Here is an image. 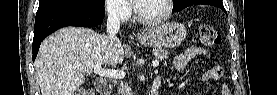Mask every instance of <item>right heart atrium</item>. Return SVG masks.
Instances as JSON below:
<instances>
[{
  "label": "right heart atrium",
  "mask_w": 277,
  "mask_h": 95,
  "mask_svg": "<svg viewBox=\"0 0 277 95\" xmlns=\"http://www.w3.org/2000/svg\"><path fill=\"white\" fill-rule=\"evenodd\" d=\"M104 5L112 20L125 21L130 16V7L125 0H105Z\"/></svg>",
  "instance_id": "d8ad5b80"
}]
</instances>
